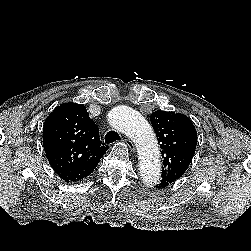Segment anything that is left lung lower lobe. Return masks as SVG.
I'll use <instances>...</instances> for the list:
<instances>
[{"label": "left lung lower lobe", "instance_id": "obj_1", "mask_svg": "<svg viewBox=\"0 0 251 251\" xmlns=\"http://www.w3.org/2000/svg\"><path fill=\"white\" fill-rule=\"evenodd\" d=\"M167 186H168L167 182H162V181H160V183L158 185H156V187H158V188H165Z\"/></svg>", "mask_w": 251, "mask_h": 251}]
</instances>
